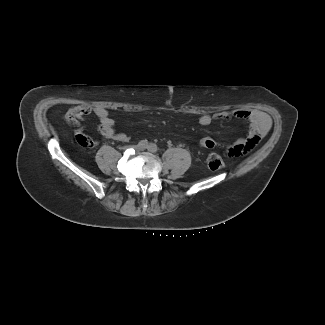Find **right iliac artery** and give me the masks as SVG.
I'll return each mask as SVG.
<instances>
[{"mask_svg":"<svg viewBox=\"0 0 325 325\" xmlns=\"http://www.w3.org/2000/svg\"><path fill=\"white\" fill-rule=\"evenodd\" d=\"M138 146L141 148V149H145L147 148L148 146V142L146 140H141L139 143H138Z\"/></svg>","mask_w":325,"mask_h":325,"instance_id":"1","label":"right iliac artery"}]
</instances>
